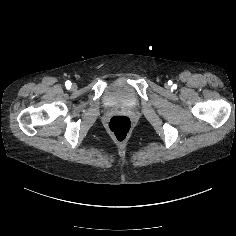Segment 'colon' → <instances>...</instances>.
Returning a JSON list of instances; mask_svg holds the SVG:
<instances>
[{
  "mask_svg": "<svg viewBox=\"0 0 236 236\" xmlns=\"http://www.w3.org/2000/svg\"><path fill=\"white\" fill-rule=\"evenodd\" d=\"M107 129L117 141L122 142L126 140L131 133V119L126 115H115L110 118Z\"/></svg>",
  "mask_w": 236,
  "mask_h": 236,
  "instance_id": "5ec220e1",
  "label": "colon"
}]
</instances>
